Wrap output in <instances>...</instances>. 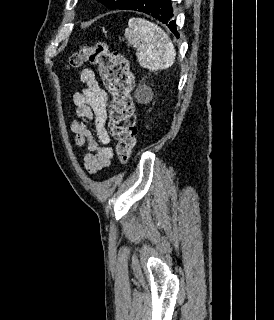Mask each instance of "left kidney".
Instances as JSON below:
<instances>
[{"label":"left kidney","instance_id":"1","mask_svg":"<svg viewBox=\"0 0 274 320\" xmlns=\"http://www.w3.org/2000/svg\"><path fill=\"white\" fill-rule=\"evenodd\" d=\"M139 98V96H137ZM153 98V92L151 88H144V92H142V96L139 98V102H150Z\"/></svg>","mask_w":274,"mask_h":320}]
</instances>
